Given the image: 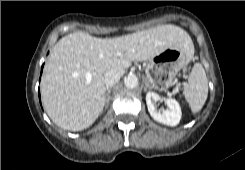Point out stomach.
<instances>
[{
	"mask_svg": "<svg viewBox=\"0 0 245 170\" xmlns=\"http://www.w3.org/2000/svg\"><path fill=\"white\" fill-rule=\"evenodd\" d=\"M181 48H168L150 58L146 65L147 82L153 89L164 91L180 76V70L190 61Z\"/></svg>",
	"mask_w": 245,
	"mask_h": 170,
	"instance_id": "obj_1",
	"label": "stomach"
}]
</instances>
